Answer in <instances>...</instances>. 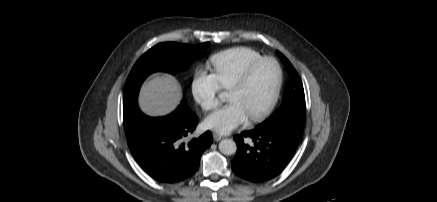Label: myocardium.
Segmentation results:
<instances>
[{
    "instance_id": "myocardium-1",
    "label": "myocardium",
    "mask_w": 437,
    "mask_h": 202,
    "mask_svg": "<svg viewBox=\"0 0 437 202\" xmlns=\"http://www.w3.org/2000/svg\"><path fill=\"white\" fill-rule=\"evenodd\" d=\"M264 62H272L275 65L276 70H277V80H276L273 94H272L269 102L266 104V106L261 111H259L257 114L248 118L249 122H251V123L259 122V121L263 120L265 117H267L270 114V112L273 110V108L275 107V105L278 101V98H279V95L281 92V88H282V83H283V70H282L280 63L274 57H270V56H265V57H261L259 59H256L245 68V70L242 72V74L236 79V81L229 88V90H233V89H238V88L245 86L249 82L255 69L260 64H262Z\"/></svg>"
}]
</instances>
